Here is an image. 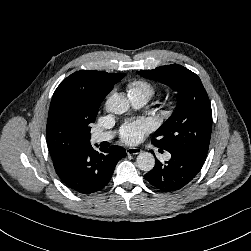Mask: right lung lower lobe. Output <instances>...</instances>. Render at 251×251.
I'll use <instances>...</instances> for the list:
<instances>
[{
	"mask_svg": "<svg viewBox=\"0 0 251 251\" xmlns=\"http://www.w3.org/2000/svg\"><path fill=\"white\" fill-rule=\"evenodd\" d=\"M126 156L125 149L111 146L98 152L90 145L78 151L57 175L70 189L91 194L103 189L110 181L117 162Z\"/></svg>",
	"mask_w": 251,
	"mask_h": 251,
	"instance_id": "right-lung-lower-lobe-1",
	"label": "right lung lower lobe"
}]
</instances>
